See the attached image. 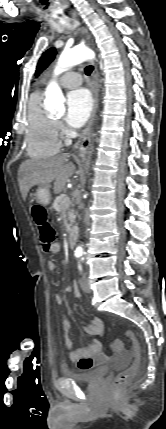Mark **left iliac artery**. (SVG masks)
Instances as JSON below:
<instances>
[{
    "label": "left iliac artery",
    "mask_w": 166,
    "mask_h": 429,
    "mask_svg": "<svg viewBox=\"0 0 166 429\" xmlns=\"http://www.w3.org/2000/svg\"><path fill=\"white\" fill-rule=\"evenodd\" d=\"M78 268H79V270H82V268H81V265H80V264H78Z\"/></svg>",
    "instance_id": "1"
}]
</instances>
